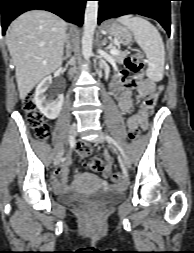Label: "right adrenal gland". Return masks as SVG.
<instances>
[{
  "label": "right adrenal gland",
  "mask_w": 194,
  "mask_h": 253,
  "mask_svg": "<svg viewBox=\"0 0 194 253\" xmlns=\"http://www.w3.org/2000/svg\"><path fill=\"white\" fill-rule=\"evenodd\" d=\"M67 47L70 48L69 43H68ZM68 56H69V53H67V55L64 57V60H66L68 58Z\"/></svg>",
  "instance_id": "obj_1"
}]
</instances>
